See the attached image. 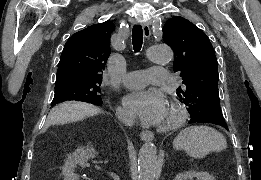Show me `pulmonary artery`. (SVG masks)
Returning a JSON list of instances; mask_svg holds the SVG:
<instances>
[{
	"mask_svg": "<svg viewBox=\"0 0 261 180\" xmlns=\"http://www.w3.org/2000/svg\"><path fill=\"white\" fill-rule=\"evenodd\" d=\"M167 67H158V69H147L140 71H131L124 75L123 84L125 86H135L136 88H145L146 82L169 83L170 79Z\"/></svg>",
	"mask_w": 261,
	"mask_h": 180,
	"instance_id": "1",
	"label": "pulmonary artery"
}]
</instances>
